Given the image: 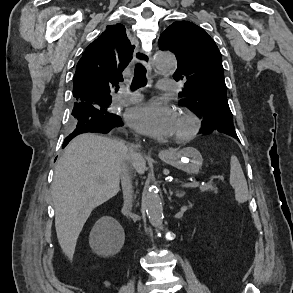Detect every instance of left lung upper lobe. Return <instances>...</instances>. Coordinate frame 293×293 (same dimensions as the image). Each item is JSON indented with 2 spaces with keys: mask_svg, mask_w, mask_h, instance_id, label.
I'll return each mask as SVG.
<instances>
[{
  "mask_svg": "<svg viewBox=\"0 0 293 293\" xmlns=\"http://www.w3.org/2000/svg\"><path fill=\"white\" fill-rule=\"evenodd\" d=\"M162 50L177 58L173 77L182 80L180 106L204 118L207 132L235 131L228 105L221 53L214 40L199 26L189 21H176L158 41Z\"/></svg>",
  "mask_w": 293,
  "mask_h": 293,
  "instance_id": "5c2ea615",
  "label": "left lung upper lobe"
}]
</instances>
